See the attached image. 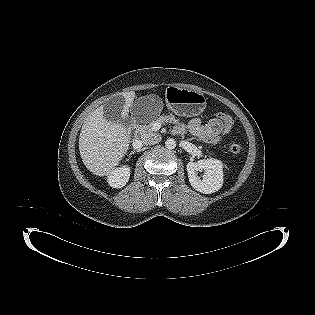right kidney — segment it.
I'll use <instances>...</instances> for the list:
<instances>
[{"instance_id": "obj_1", "label": "right kidney", "mask_w": 315, "mask_h": 315, "mask_svg": "<svg viewBox=\"0 0 315 315\" xmlns=\"http://www.w3.org/2000/svg\"><path fill=\"white\" fill-rule=\"evenodd\" d=\"M130 176V168L122 166L113 170L108 176V183L113 188H122L126 185Z\"/></svg>"}]
</instances>
